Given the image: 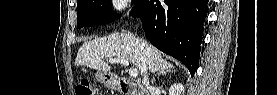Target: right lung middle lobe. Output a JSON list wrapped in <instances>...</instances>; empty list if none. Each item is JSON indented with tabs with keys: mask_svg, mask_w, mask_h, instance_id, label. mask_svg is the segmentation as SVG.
<instances>
[{
	"mask_svg": "<svg viewBox=\"0 0 277 95\" xmlns=\"http://www.w3.org/2000/svg\"><path fill=\"white\" fill-rule=\"evenodd\" d=\"M135 4L138 0L133 1ZM109 0H80L77 2V27L95 26L116 20Z\"/></svg>",
	"mask_w": 277,
	"mask_h": 95,
	"instance_id": "1",
	"label": "right lung middle lobe"
}]
</instances>
